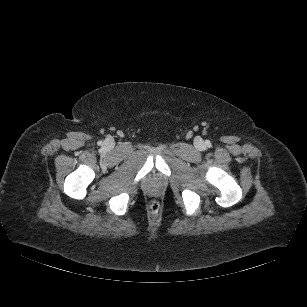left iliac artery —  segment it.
I'll list each match as a JSON object with an SVG mask.
<instances>
[{
  "mask_svg": "<svg viewBox=\"0 0 307 307\" xmlns=\"http://www.w3.org/2000/svg\"><path fill=\"white\" fill-rule=\"evenodd\" d=\"M205 143H206L207 146L211 145L210 141H208V140Z\"/></svg>",
  "mask_w": 307,
  "mask_h": 307,
  "instance_id": "1",
  "label": "left iliac artery"
}]
</instances>
